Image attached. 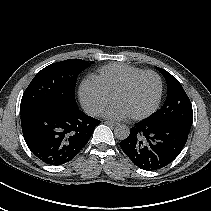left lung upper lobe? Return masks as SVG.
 I'll return each instance as SVG.
<instances>
[{
	"label": "left lung upper lobe",
	"mask_w": 211,
	"mask_h": 211,
	"mask_svg": "<svg viewBox=\"0 0 211 211\" xmlns=\"http://www.w3.org/2000/svg\"><path fill=\"white\" fill-rule=\"evenodd\" d=\"M167 81V98L160 110L148 117L150 122L175 123L190 129L193 122L191 102L180 82L169 72L158 68Z\"/></svg>",
	"instance_id": "5c2ea615"
}]
</instances>
